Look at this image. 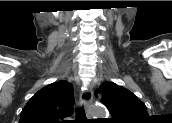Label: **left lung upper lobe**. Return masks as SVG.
<instances>
[{
	"instance_id": "left-lung-upper-lobe-1",
	"label": "left lung upper lobe",
	"mask_w": 172,
	"mask_h": 123,
	"mask_svg": "<svg viewBox=\"0 0 172 123\" xmlns=\"http://www.w3.org/2000/svg\"><path fill=\"white\" fill-rule=\"evenodd\" d=\"M102 94V102L108 108L113 123H139L148 118L145 104L128 89L113 82H104L96 94Z\"/></svg>"
}]
</instances>
